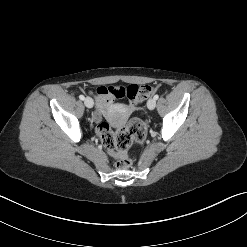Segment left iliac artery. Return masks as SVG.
Instances as JSON below:
<instances>
[{"mask_svg": "<svg viewBox=\"0 0 247 247\" xmlns=\"http://www.w3.org/2000/svg\"><path fill=\"white\" fill-rule=\"evenodd\" d=\"M158 98H159V95L156 94V95L154 96V99L157 100Z\"/></svg>", "mask_w": 247, "mask_h": 247, "instance_id": "1", "label": "left iliac artery"}]
</instances>
